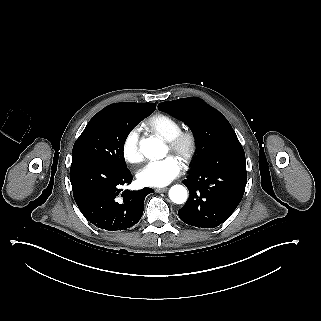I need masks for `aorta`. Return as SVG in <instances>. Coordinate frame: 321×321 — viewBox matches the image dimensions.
<instances>
[{"label":"aorta","mask_w":321,"mask_h":321,"mask_svg":"<svg viewBox=\"0 0 321 321\" xmlns=\"http://www.w3.org/2000/svg\"><path fill=\"white\" fill-rule=\"evenodd\" d=\"M140 150L145 157L157 159L166 153L165 145L157 138L149 137L140 141ZM187 190L182 185H174L169 190V198L176 204H182L187 200Z\"/></svg>","instance_id":"aorta-1"}]
</instances>
